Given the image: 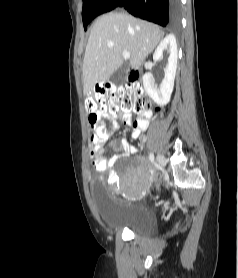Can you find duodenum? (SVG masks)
I'll use <instances>...</instances> for the list:
<instances>
[{
	"label": "duodenum",
	"mask_w": 238,
	"mask_h": 278,
	"mask_svg": "<svg viewBox=\"0 0 238 278\" xmlns=\"http://www.w3.org/2000/svg\"><path fill=\"white\" fill-rule=\"evenodd\" d=\"M138 78H139V74H138L137 71L132 70V71L129 73L128 80H129L130 83H133V82L137 81Z\"/></svg>",
	"instance_id": "duodenum-1"
}]
</instances>
